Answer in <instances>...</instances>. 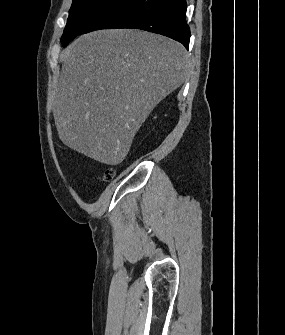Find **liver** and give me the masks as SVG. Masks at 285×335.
Wrapping results in <instances>:
<instances>
[{
  "label": "liver",
  "mask_w": 285,
  "mask_h": 335,
  "mask_svg": "<svg viewBox=\"0 0 285 335\" xmlns=\"http://www.w3.org/2000/svg\"><path fill=\"white\" fill-rule=\"evenodd\" d=\"M52 92L58 136L68 148L117 166L155 106L184 84L185 48L139 30H98L65 52Z\"/></svg>",
  "instance_id": "1"
}]
</instances>
